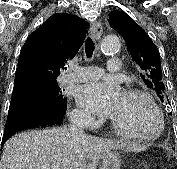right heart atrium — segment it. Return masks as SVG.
I'll return each mask as SVG.
<instances>
[{
    "label": "right heart atrium",
    "instance_id": "right-heart-atrium-1",
    "mask_svg": "<svg viewBox=\"0 0 177 169\" xmlns=\"http://www.w3.org/2000/svg\"><path fill=\"white\" fill-rule=\"evenodd\" d=\"M72 120L74 123L85 124L91 127L100 123L89 112L82 109H75L72 112Z\"/></svg>",
    "mask_w": 177,
    "mask_h": 169
}]
</instances>
